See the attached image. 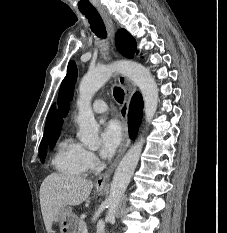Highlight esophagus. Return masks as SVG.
Masks as SVG:
<instances>
[{"label": "esophagus", "mask_w": 227, "mask_h": 233, "mask_svg": "<svg viewBox=\"0 0 227 233\" xmlns=\"http://www.w3.org/2000/svg\"><path fill=\"white\" fill-rule=\"evenodd\" d=\"M99 13L109 31V34L111 36L113 45H114V36H115V28L113 25V22L111 18L108 16V14L102 10L99 9ZM118 81L125 92V98L124 102L120 108V116L123 123V134H122V142L118 150V154L114 160V162L111 164V166L102 173L96 180V186L97 187H103L106 186L109 183L110 177L117 166L118 162L120 161L121 157L127 150V148L130 145V138L128 134V111H129V103L132 95L136 92L137 88L133 82H131L128 78H126L124 75L118 76Z\"/></svg>", "instance_id": "obj_1"}]
</instances>
